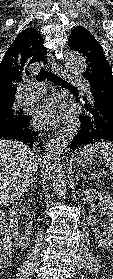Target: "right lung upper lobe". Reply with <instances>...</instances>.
<instances>
[{"label": "right lung upper lobe", "mask_w": 113, "mask_h": 279, "mask_svg": "<svg viewBox=\"0 0 113 279\" xmlns=\"http://www.w3.org/2000/svg\"><path fill=\"white\" fill-rule=\"evenodd\" d=\"M44 40L34 28L18 34L7 49L0 63V108L14 103L17 83L30 75L26 67L31 63L44 61L46 48Z\"/></svg>", "instance_id": "obj_1"}]
</instances>
